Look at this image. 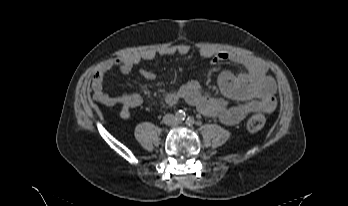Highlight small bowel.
Segmentation results:
<instances>
[{"label": "small bowel", "instance_id": "1", "mask_svg": "<svg viewBox=\"0 0 348 206\" xmlns=\"http://www.w3.org/2000/svg\"><path fill=\"white\" fill-rule=\"evenodd\" d=\"M190 47L182 44L161 51L147 50L107 62L100 67L93 79V96L96 101L106 106L121 105L120 117L130 118L131 110L139 107L143 98L137 93H123L112 96L104 87V75L111 69H118L123 73L130 72L136 65L153 60L157 55H186ZM201 57L210 59L213 64L223 60H231L242 65L245 71H226L219 78V87L224 97H213L203 94L201 85L191 80L178 90L166 94V101L175 104L180 99L186 100L205 116L218 119L225 125H236L247 116L254 113H271L277 108L276 84L273 78L267 75L264 64L246 55L223 51H213L208 48L199 50ZM141 75L149 81L155 79V74L147 69L140 70ZM227 99L239 101L236 106H230Z\"/></svg>", "mask_w": 348, "mask_h": 206}]
</instances>
